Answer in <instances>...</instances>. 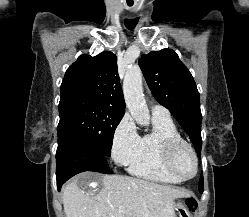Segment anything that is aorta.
<instances>
[{
	"mask_svg": "<svg viewBox=\"0 0 249 217\" xmlns=\"http://www.w3.org/2000/svg\"><path fill=\"white\" fill-rule=\"evenodd\" d=\"M123 92L126 106L140 126L150 124L149 109L143 94L142 72L138 66L127 70L123 81Z\"/></svg>",
	"mask_w": 249,
	"mask_h": 217,
	"instance_id": "obj_1",
	"label": "aorta"
}]
</instances>
